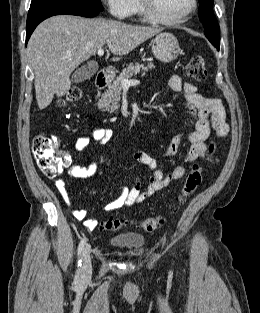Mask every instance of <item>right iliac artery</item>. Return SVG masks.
Listing matches in <instances>:
<instances>
[{"label": "right iliac artery", "mask_w": 260, "mask_h": 313, "mask_svg": "<svg viewBox=\"0 0 260 313\" xmlns=\"http://www.w3.org/2000/svg\"><path fill=\"white\" fill-rule=\"evenodd\" d=\"M85 242H86V239L83 238L80 243H79V246H78V269H77V272H76V275H75V279L78 280L79 279V276H80V267H81V257H82V252H83V249H84V245H85Z\"/></svg>", "instance_id": "right-iliac-artery-1"}]
</instances>
